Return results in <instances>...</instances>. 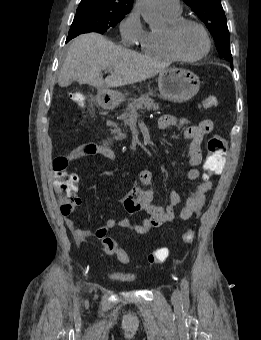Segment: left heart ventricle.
Returning <instances> with one entry per match:
<instances>
[{
    "instance_id": "1",
    "label": "left heart ventricle",
    "mask_w": 261,
    "mask_h": 340,
    "mask_svg": "<svg viewBox=\"0 0 261 340\" xmlns=\"http://www.w3.org/2000/svg\"><path fill=\"white\" fill-rule=\"evenodd\" d=\"M177 48L181 54L194 57L201 54L206 46L201 30L195 25H185L177 34Z\"/></svg>"
}]
</instances>
